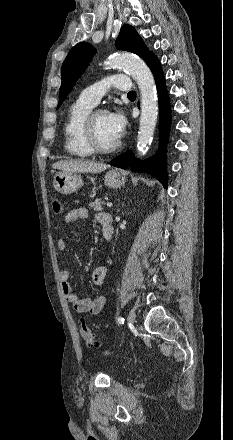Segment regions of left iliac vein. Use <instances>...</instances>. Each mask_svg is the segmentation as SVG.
Masks as SVG:
<instances>
[{
	"label": "left iliac vein",
	"instance_id": "1",
	"mask_svg": "<svg viewBox=\"0 0 233 440\" xmlns=\"http://www.w3.org/2000/svg\"><path fill=\"white\" fill-rule=\"evenodd\" d=\"M135 318H136L135 311L131 310L128 314V317H127V321L130 326L134 325Z\"/></svg>",
	"mask_w": 233,
	"mask_h": 440
}]
</instances>
